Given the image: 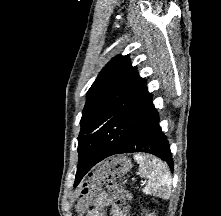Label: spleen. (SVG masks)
Listing matches in <instances>:
<instances>
[{
	"instance_id": "1",
	"label": "spleen",
	"mask_w": 221,
	"mask_h": 216,
	"mask_svg": "<svg viewBox=\"0 0 221 216\" xmlns=\"http://www.w3.org/2000/svg\"><path fill=\"white\" fill-rule=\"evenodd\" d=\"M134 159L139 164L141 177L147 178L148 182L143 192L154 194L163 199L171 196L172 178L168 166L156 157L136 154Z\"/></svg>"
}]
</instances>
